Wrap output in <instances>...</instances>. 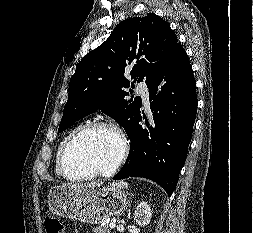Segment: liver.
Masks as SVG:
<instances>
[{"label":"liver","mask_w":253,"mask_h":233,"mask_svg":"<svg viewBox=\"0 0 253 233\" xmlns=\"http://www.w3.org/2000/svg\"><path fill=\"white\" fill-rule=\"evenodd\" d=\"M94 184H101V183H99V182H91V183H88V184H75V185H71V186L80 187V186L94 185Z\"/></svg>","instance_id":"liver-1"}]
</instances>
